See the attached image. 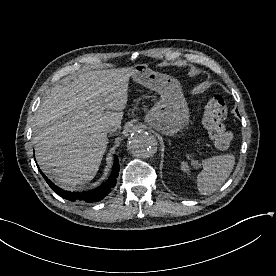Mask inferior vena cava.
Returning a JSON list of instances; mask_svg holds the SVG:
<instances>
[{
  "label": "inferior vena cava",
  "mask_w": 276,
  "mask_h": 276,
  "mask_svg": "<svg viewBox=\"0 0 276 276\" xmlns=\"http://www.w3.org/2000/svg\"><path fill=\"white\" fill-rule=\"evenodd\" d=\"M118 128H119V125L117 123H109L104 125V131L106 133L115 132Z\"/></svg>",
  "instance_id": "inferior-vena-cava-1"
}]
</instances>
